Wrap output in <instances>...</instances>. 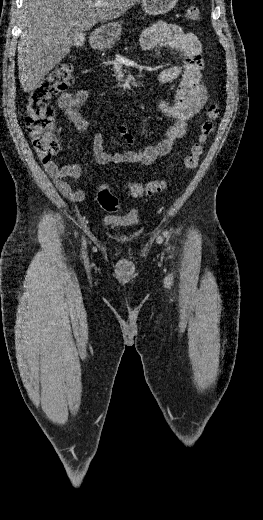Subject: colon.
I'll return each mask as SVG.
<instances>
[{"instance_id": "5ec220e1", "label": "colon", "mask_w": 263, "mask_h": 520, "mask_svg": "<svg viewBox=\"0 0 263 520\" xmlns=\"http://www.w3.org/2000/svg\"><path fill=\"white\" fill-rule=\"evenodd\" d=\"M186 18L190 21H199L200 9L195 5L189 6L186 10ZM72 83L73 67L71 64L62 63L30 92L27 99L25 124L35 152L43 163L50 162L60 150L59 141L54 134V109L50 101L59 92L69 88ZM219 115L220 109L217 105L212 104L208 107L206 120L201 125L197 142L192 145L190 152L182 161L184 170H192L197 167L204 152V145L214 132ZM127 188L133 197L151 196L163 191L165 182L153 180L146 183H129ZM97 200L99 205L108 212H115L119 209L118 198L106 185L100 186Z\"/></svg>"}]
</instances>
